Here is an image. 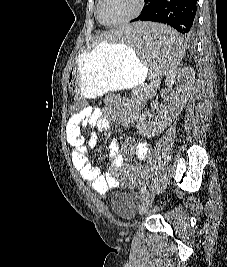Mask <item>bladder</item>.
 <instances>
[{
  "label": "bladder",
  "instance_id": "31cf9c89",
  "mask_svg": "<svg viewBox=\"0 0 227 267\" xmlns=\"http://www.w3.org/2000/svg\"><path fill=\"white\" fill-rule=\"evenodd\" d=\"M111 207L118 217H129L136 212L135 198L131 193L119 192L111 199Z\"/></svg>",
  "mask_w": 227,
  "mask_h": 267
}]
</instances>
